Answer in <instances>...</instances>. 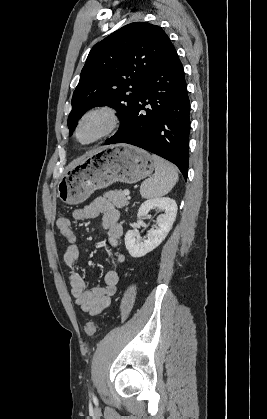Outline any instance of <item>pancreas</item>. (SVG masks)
<instances>
[{"label":"pancreas","instance_id":"1","mask_svg":"<svg viewBox=\"0 0 267 419\" xmlns=\"http://www.w3.org/2000/svg\"><path fill=\"white\" fill-rule=\"evenodd\" d=\"M104 197L111 201L117 208H123L129 204L126 195L121 190L105 192Z\"/></svg>","mask_w":267,"mask_h":419}]
</instances>
